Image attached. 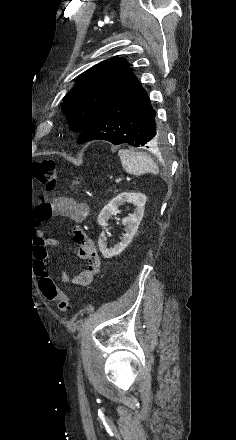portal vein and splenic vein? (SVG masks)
Masks as SVG:
<instances>
[{
	"mask_svg": "<svg viewBox=\"0 0 236 440\" xmlns=\"http://www.w3.org/2000/svg\"><path fill=\"white\" fill-rule=\"evenodd\" d=\"M122 180V178H118L115 180L116 183L120 182Z\"/></svg>",
	"mask_w": 236,
	"mask_h": 440,
	"instance_id": "portal-vein-and-splenic-vein-1",
	"label": "portal vein and splenic vein"
}]
</instances>
